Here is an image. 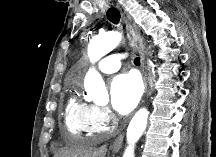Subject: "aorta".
<instances>
[{"mask_svg":"<svg viewBox=\"0 0 216 157\" xmlns=\"http://www.w3.org/2000/svg\"><path fill=\"white\" fill-rule=\"evenodd\" d=\"M121 41V34L116 31L108 32L91 39L88 46V56L92 63L98 61L112 51ZM87 99L96 104L106 103L109 99L104 81L94 68L90 69L84 79ZM149 111L142 108L136 112L127 129L128 146L123 157H134V146L145 131L148 123Z\"/></svg>","mask_w":216,"mask_h":157,"instance_id":"762f6f07","label":"aorta"}]
</instances>
